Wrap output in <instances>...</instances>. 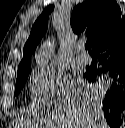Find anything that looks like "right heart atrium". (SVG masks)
<instances>
[{
  "label": "right heart atrium",
  "instance_id": "obj_1",
  "mask_svg": "<svg viewBox=\"0 0 125 128\" xmlns=\"http://www.w3.org/2000/svg\"><path fill=\"white\" fill-rule=\"evenodd\" d=\"M60 89V79L50 69H38L30 77V91L36 106H49Z\"/></svg>",
  "mask_w": 125,
  "mask_h": 128
}]
</instances>
